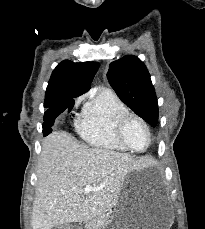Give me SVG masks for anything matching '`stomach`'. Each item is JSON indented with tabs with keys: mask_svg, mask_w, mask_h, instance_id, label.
I'll list each match as a JSON object with an SVG mask.
<instances>
[{
	"mask_svg": "<svg viewBox=\"0 0 205 229\" xmlns=\"http://www.w3.org/2000/svg\"><path fill=\"white\" fill-rule=\"evenodd\" d=\"M173 218L168 202L157 196L138 193L127 180L103 229H170Z\"/></svg>",
	"mask_w": 205,
	"mask_h": 229,
	"instance_id": "stomach-1",
	"label": "stomach"
}]
</instances>
